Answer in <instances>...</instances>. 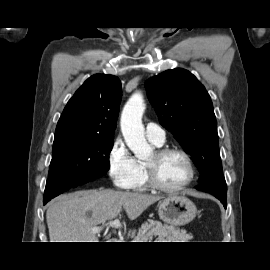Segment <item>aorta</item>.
<instances>
[{
    "label": "aorta",
    "instance_id": "obj_1",
    "mask_svg": "<svg viewBox=\"0 0 270 270\" xmlns=\"http://www.w3.org/2000/svg\"><path fill=\"white\" fill-rule=\"evenodd\" d=\"M145 103L141 93H135L128 100L121 114V131L127 146L139 159H146L152 148L145 138L142 116Z\"/></svg>",
    "mask_w": 270,
    "mask_h": 270
}]
</instances>
